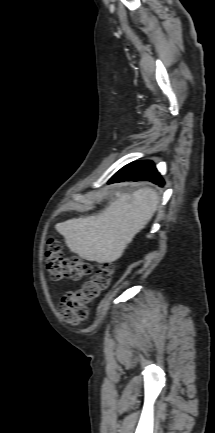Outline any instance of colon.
<instances>
[{
    "label": "colon",
    "mask_w": 215,
    "mask_h": 433,
    "mask_svg": "<svg viewBox=\"0 0 215 433\" xmlns=\"http://www.w3.org/2000/svg\"><path fill=\"white\" fill-rule=\"evenodd\" d=\"M45 257L47 269L56 279H80L91 274L89 263L76 256H65L61 242L54 238L47 241ZM112 273L111 265L104 263L80 289L66 292L58 306L59 316L73 324L86 320L88 305L110 286Z\"/></svg>",
    "instance_id": "5ec220e1"
}]
</instances>
